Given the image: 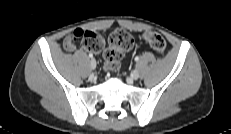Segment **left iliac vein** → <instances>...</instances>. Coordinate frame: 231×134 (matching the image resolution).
<instances>
[{
    "instance_id": "4c4485c4",
    "label": "left iliac vein",
    "mask_w": 231,
    "mask_h": 134,
    "mask_svg": "<svg viewBox=\"0 0 231 134\" xmlns=\"http://www.w3.org/2000/svg\"><path fill=\"white\" fill-rule=\"evenodd\" d=\"M131 79L132 80H137L139 78V71L138 70H134L132 73H131Z\"/></svg>"
}]
</instances>
